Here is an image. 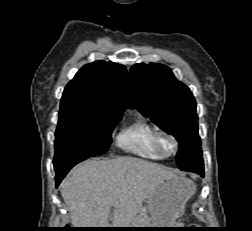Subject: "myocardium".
Instances as JSON below:
<instances>
[{
	"mask_svg": "<svg viewBox=\"0 0 252 231\" xmlns=\"http://www.w3.org/2000/svg\"><path fill=\"white\" fill-rule=\"evenodd\" d=\"M163 137H168L173 141L174 150L171 153H166L162 149L161 140H162ZM153 144H154V147H155L156 151L163 158H169V157L174 156L178 152L179 147H180V143H179L178 138L173 133H171V132H169L167 130H157L155 135H154V138H153Z\"/></svg>",
	"mask_w": 252,
	"mask_h": 231,
	"instance_id": "obj_1",
	"label": "myocardium"
}]
</instances>
